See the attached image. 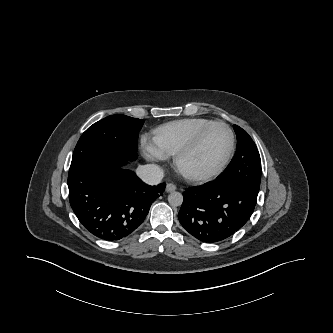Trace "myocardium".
Wrapping results in <instances>:
<instances>
[{
	"instance_id": "obj_1",
	"label": "myocardium",
	"mask_w": 333,
	"mask_h": 333,
	"mask_svg": "<svg viewBox=\"0 0 333 333\" xmlns=\"http://www.w3.org/2000/svg\"><path fill=\"white\" fill-rule=\"evenodd\" d=\"M215 126L224 127L227 130L230 137L229 150L224 160L215 170L209 173L199 174L186 170L183 166L184 160L198 148L205 135ZM234 151H235V135L233 130L227 123L223 121H214L211 124L204 127L202 130H200L196 134V136L184 148H182L177 154H175L174 165L178 170V172L186 179L195 182H207L218 177L227 168L228 164L230 163L233 157Z\"/></svg>"
}]
</instances>
